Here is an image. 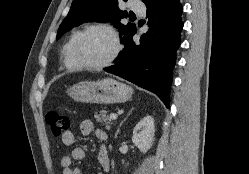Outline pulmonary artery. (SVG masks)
Here are the masks:
<instances>
[{
  "label": "pulmonary artery",
  "mask_w": 249,
  "mask_h": 174,
  "mask_svg": "<svg viewBox=\"0 0 249 174\" xmlns=\"http://www.w3.org/2000/svg\"><path fill=\"white\" fill-rule=\"evenodd\" d=\"M131 8L135 14L144 15L146 13V7L142 2L133 1L131 3Z\"/></svg>",
  "instance_id": "pulmonary-artery-1"
}]
</instances>
